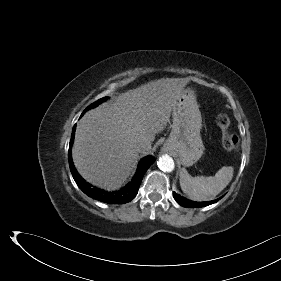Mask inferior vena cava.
<instances>
[{
    "label": "inferior vena cava",
    "instance_id": "obj_1",
    "mask_svg": "<svg viewBox=\"0 0 281 281\" xmlns=\"http://www.w3.org/2000/svg\"><path fill=\"white\" fill-rule=\"evenodd\" d=\"M151 149V146L147 143H141L137 146V151L140 153H145Z\"/></svg>",
    "mask_w": 281,
    "mask_h": 281
}]
</instances>
